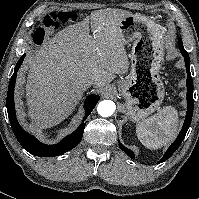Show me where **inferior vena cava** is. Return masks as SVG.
<instances>
[{
	"label": "inferior vena cava",
	"instance_id": "602c4592",
	"mask_svg": "<svg viewBox=\"0 0 199 199\" xmlns=\"http://www.w3.org/2000/svg\"><path fill=\"white\" fill-rule=\"evenodd\" d=\"M96 83V81L94 79H90V80H87L85 82V87L88 88L90 87L91 85H94Z\"/></svg>",
	"mask_w": 199,
	"mask_h": 199
}]
</instances>
